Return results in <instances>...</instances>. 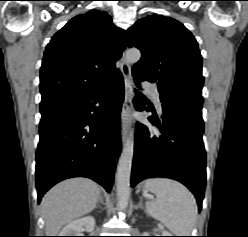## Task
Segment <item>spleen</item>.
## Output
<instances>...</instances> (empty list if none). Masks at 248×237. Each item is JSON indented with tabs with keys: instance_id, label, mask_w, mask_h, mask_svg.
Listing matches in <instances>:
<instances>
[{
	"instance_id": "obj_1",
	"label": "spleen",
	"mask_w": 248,
	"mask_h": 237,
	"mask_svg": "<svg viewBox=\"0 0 248 237\" xmlns=\"http://www.w3.org/2000/svg\"><path fill=\"white\" fill-rule=\"evenodd\" d=\"M145 188L157 198L146 202L147 213L176 236H190L197 216V205L191 192L179 182L165 178L149 179Z\"/></svg>"
}]
</instances>
